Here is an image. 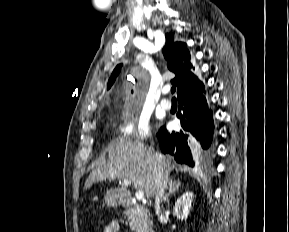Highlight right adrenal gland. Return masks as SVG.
Instances as JSON below:
<instances>
[{"label":"right adrenal gland","mask_w":289,"mask_h":232,"mask_svg":"<svg viewBox=\"0 0 289 232\" xmlns=\"http://www.w3.org/2000/svg\"><path fill=\"white\" fill-rule=\"evenodd\" d=\"M181 183L179 181H173L172 179L169 181V192L165 194L163 200L164 202H169V196L171 194H175L178 191Z\"/></svg>","instance_id":"2a0ac1e0"}]
</instances>
